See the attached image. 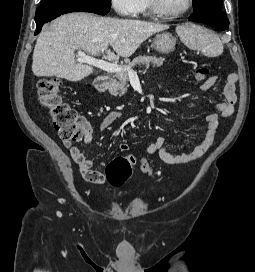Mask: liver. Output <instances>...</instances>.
<instances>
[{
    "mask_svg": "<svg viewBox=\"0 0 255 272\" xmlns=\"http://www.w3.org/2000/svg\"><path fill=\"white\" fill-rule=\"evenodd\" d=\"M169 25L133 19L97 17L89 13H69L55 19L50 30L37 39L32 71L37 77L56 76L77 82L93 72L90 65L76 63L75 51L91 55L104 53V59L130 57L147 38ZM112 46V52L108 47Z\"/></svg>",
    "mask_w": 255,
    "mask_h": 272,
    "instance_id": "obj_1",
    "label": "liver"
}]
</instances>
